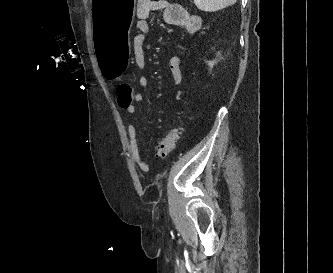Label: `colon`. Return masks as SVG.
<instances>
[{
    "label": "colon",
    "instance_id": "obj_1",
    "mask_svg": "<svg viewBox=\"0 0 333 273\" xmlns=\"http://www.w3.org/2000/svg\"><path fill=\"white\" fill-rule=\"evenodd\" d=\"M118 104L122 109H127L134 103L132 87L122 83L117 87ZM180 134V128L174 127L159 140L156 145V155L159 158L167 157L175 148Z\"/></svg>",
    "mask_w": 333,
    "mask_h": 273
}]
</instances>
